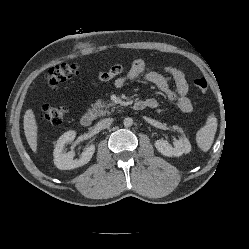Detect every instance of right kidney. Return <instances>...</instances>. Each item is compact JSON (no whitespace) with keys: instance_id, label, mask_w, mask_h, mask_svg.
I'll return each mask as SVG.
<instances>
[{"instance_id":"ca27d5eb","label":"right kidney","mask_w":249,"mask_h":249,"mask_svg":"<svg viewBox=\"0 0 249 249\" xmlns=\"http://www.w3.org/2000/svg\"><path fill=\"white\" fill-rule=\"evenodd\" d=\"M75 137V131H68L65 132L56 142L55 149L53 152L54 164L60 170H70L87 164L91 160L95 152V145L92 144L89 145L84 150V152H82L81 157L79 159H74L73 152L65 153L63 151L65 144L72 142Z\"/></svg>"}]
</instances>
